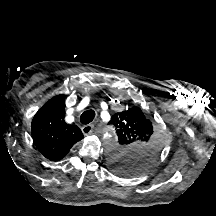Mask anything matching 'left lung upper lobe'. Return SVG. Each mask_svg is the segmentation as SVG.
Returning <instances> with one entry per match:
<instances>
[{
  "label": "left lung upper lobe",
  "instance_id": "1",
  "mask_svg": "<svg viewBox=\"0 0 216 216\" xmlns=\"http://www.w3.org/2000/svg\"><path fill=\"white\" fill-rule=\"evenodd\" d=\"M118 145L110 152L109 165L117 174L134 176L144 171L161 155L162 132L139 107H130L112 115Z\"/></svg>",
  "mask_w": 216,
  "mask_h": 216
}]
</instances>
